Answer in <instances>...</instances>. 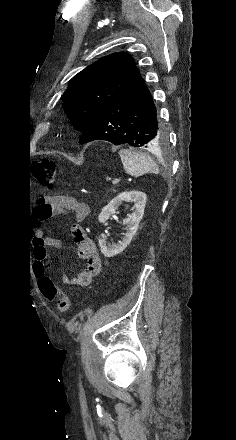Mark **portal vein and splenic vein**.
<instances>
[{
  "mask_svg": "<svg viewBox=\"0 0 236 440\" xmlns=\"http://www.w3.org/2000/svg\"><path fill=\"white\" fill-rule=\"evenodd\" d=\"M120 181V179H115L112 181V184H117Z\"/></svg>",
  "mask_w": 236,
  "mask_h": 440,
  "instance_id": "1",
  "label": "portal vein and splenic vein"
}]
</instances>
